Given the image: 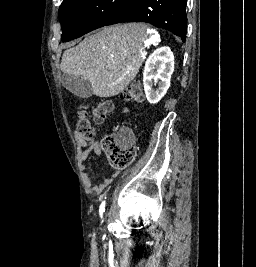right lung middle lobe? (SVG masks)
Here are the masks:
<instances>
[{
	"mask_svg": "<svg viewBox=\"0 0 256 267\" xmlns=\"http://www.w3.org/2000/svg\"><path fill=\"white\" fill-rule=\"evenodd\" d=\"M138 0H64L59 8L63 42L78 38L131 12Z\"/></svg>",
	"mask_w": 256,
	"mask_h": 267,
	"instance_id": "obj_1",
	"label": "right lung middle lobe"
}]
</instances>
